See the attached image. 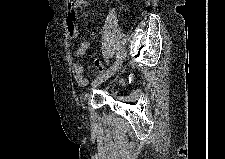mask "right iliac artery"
<instances>
[{"instance_id":"right-iliac-artery-1","label":"right iliac artery","mask_w":225,"mask_h":159,"mask_svg":"<svg viewBox=\"0 0 225 159\" xmlns=\"http://www.w3.org/2000/svg\"><path fill=\"white\" fill-rule=\"evenodd\" d=\"M120 54H121V51L119 50L118 53H117V55H116V59L119 58Z\"/></svg>"}]
</instances>
